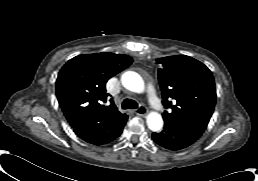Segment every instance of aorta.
Instances as JSON below:
<instances>
[{"mask_svg":"<svg viewBox=\"0 0 258 181\" xmlns=\"http://www.w3.org/2000/svg\"><path fill=\"white\" fill-rule=\"evenodd\" d=\"M122 85L135 93H142L145 88L142 77L134 71H126L121 76ZM147 126L150 130L158 132L163 127L162 116L157 112H150L146 118Z\"/></svg>","mask_w":258,"mask_h":181,"instance_id":"762f6f07","label":"aorta"}]
</instances>
